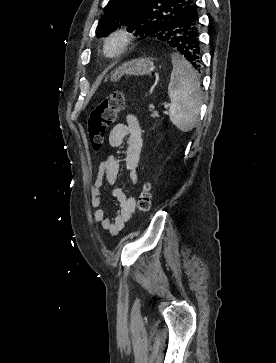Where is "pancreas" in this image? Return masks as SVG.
Returning <instances> with one entry per match:
<instances>
[{
    "label": "pancreas",
    "mask_w": 276,
    "mask_h": 363,
    "mask_svg": "<svg viewBox=\"0 0 276 363\" xmlns=\"http://www.w3.org/2000/svg\"><path fill=\"white\" fill-rule=\"evenodd\" d=\"M150 111L153 112V114H152L153 117H158L159 116L158 112L154 110L153 106L150 107Z\"/></svg>",
    "instance_id": "obj_1"
}]
</instances>
